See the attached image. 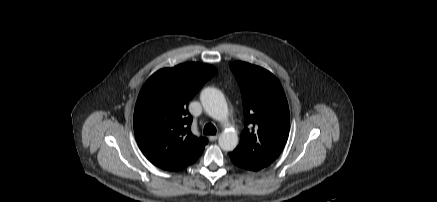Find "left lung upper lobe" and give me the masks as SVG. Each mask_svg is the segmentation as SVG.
I'll list each match as a JSON object with an SVG mask.
<instances>
[{"label":"left lung upper lobe","instance_id":"left-lung-upper-lobe-1","mask_svg":"<svg viewBox=\"0 0 437 202\" xmlns=\"http://www.w3.org/2000/svg\"><path fill=\"white\" fill-rule=\"evenodd\" d=\"M241 89L245 129L233 151L266 167L282 152L289 135V107L277 78L246 62L230 65Z\"/></svg>","mask_w":437,"mask_h":202}]
</instances>
